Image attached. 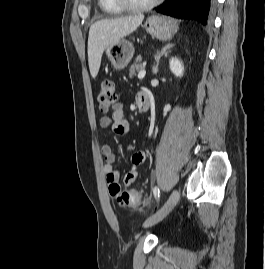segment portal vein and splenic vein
Instances as JSON below:
<instances>
[{
  "label": "portal vein and splenic vein",
  "instance_id": "obj_1",
  "mask_svg": "<svg viewBox=\"0 0 265 269\" xmlns=\"http://www.w3.org/2000/svg\"><path fill=\"white\" fill-rule=\"evenodd\" d=\"M145 75H146V70L145 69H142L138 73V78L139 79H143L145 77Z\"/></svg>",
  "mask_w": 265,
  "mask_h": 269
}]
</instances>
